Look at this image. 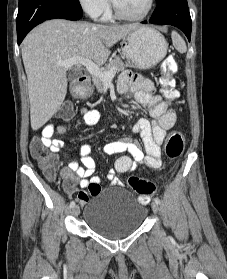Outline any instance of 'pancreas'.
I'll list each match as a JSON object with an SVG mask.
<instances>
[{
  "instance_id": "pancreas-1",
  "label": "pancreas",
  "mask_w": 227,
  "mask_h": 279,
  "mask_svg": "<svg viewBox=\"0 0 227 279\" xmlns=\"http://www.w3.org/2000/svg\"><path fill=\"white\" fill-rule=\"evenodd\" d=\"M127 65H125L119 58L110 60L109 64L103 69V71H109L112 68L116 69V72L124 71ZM93 83L98 92H101L105 87V82L99 77L93 76Z\"/></svg>"
}]
</instances>
